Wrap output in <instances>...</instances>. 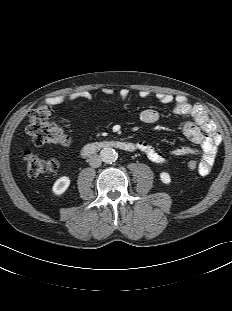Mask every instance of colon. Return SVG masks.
<instances>
[{
    "instance_id": "1",
    "label": "colon",
    "mask_w": 232,
    "mask_h": 311,
    "mask_svg": "<svg viewBox=\"0 0 232 311\" xmlns=\"http://www.w3.org/2000/svg\"><path fill=\"white\" fill-rule=\"evenodd\" d=\"M50 109L41 105L33 109L30 113V120L27 126V133L36 146L47 144H66L68 137L61 127L49 121ZM23 161L26 165L27 174L30 177H37L43 173L55 171L59 167V162L54 158H44L31 151H25ZM189 169L198 167V162L194 159L188 161Z\"/></svg>"
}]
</instances>
